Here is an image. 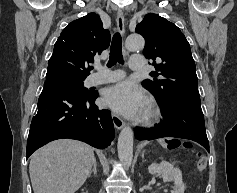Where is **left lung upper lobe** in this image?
Returning <instances> with one entry per match:
<instances>
[{"label":"left lung upper lobe","mask_w":237,"mask_h":193,"mask_svg":"<svg viewBox=\"0 0 237 193\" xmlns=\"http://www.w3.org/2000/svg\"><path fill=\"white\" fill-rule=\"evenodd\" d=\"M136 32L145 38L143 54L155 65L150 73L154 79H146L142 85L158 104L171 108L182 103L200 104L195 62L180 29L157 14H147Z\"/></svg>","instance_id":"5c2ea615"}]
</instances>
